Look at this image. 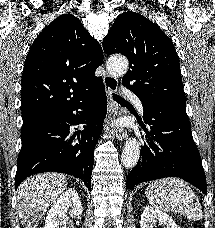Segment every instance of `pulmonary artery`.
I'll list each match as a JSON object with an SVG mask.
<instances>
[{
    "instance_id": "obj_1",
    "label": "pulmonary artery",
    "mask_w": 215,
    "mask_h": 228,
    "mask_svg": "<svg viewBox=\"0 0 215 228\" xmlns=\"http://www.w3.org/2000/svg\"><path fill=\"white\" fill-rule=\"evenodd\" d=\"M131 84H126L125 88H118V93L120 96H131L129 97V102H135L134 109L139 110L140 113L144 112L145 106L142 104V97H137L134 94H131Z\"/></svg>"
}]
</instances>
